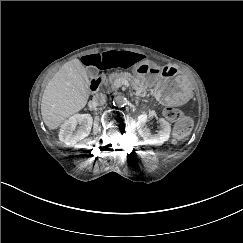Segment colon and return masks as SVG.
Returning a JSON list of instances; mask_svg holds the SVG:
<instances>
[{
  "mask_svg": "<svg viewBox=\"0 0 243 243\" xmlns=\"http://www.w3.org/2000/svg\"><path fill=\"white\" fill-rule=\"evenodd\" d=\"M165 117L171 121L176 122L173 135L176 139H182L190 130L191 122L185 118L182 111L174 107H168L164 110Z\"/></svg>",
  "mask_w": 243,
  "mask_h": 243,
  "instance_id": "colon-1",
  "label": "colon"
}]
</instances>
